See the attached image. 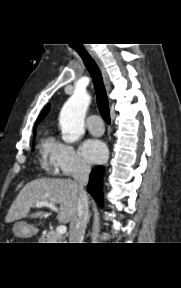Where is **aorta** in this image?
<instances>
[{"mask_svg": "<svg viewBox=\"0 0 181 288\" xmlns=\"http://www.w3.org/2000/svg\"><path fill=\"white\" fill-rule=\"evenodd\" d=\"M90 101L89 94L84 91H75L64 104L59 118L64 142L73 143L83 135L84 118Z\"/></svg>", "mask_w": 181, "mask_h": 288, "instance_id": "obj_1", "label": "aorta"}]
</instances>
